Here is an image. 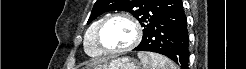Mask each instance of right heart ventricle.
<instances>
[{
  "label": "right heart ventricle",
  "mask_w": 246,
  "mask_h": 69,
  "mask_svg": "<svg viewBox=\"0 0 246 69\" xmlns=\"http://www.w3.org/2000/svg\"><path fill=\"white\" fill-rule=\"evenodd\" d=\"M105 17L106 16H101L98 19H96L85 32V38H84L85 51L92 57L100 56L102 54V50L98 46L95 38V32L98 25Z\"/></svg>",
  "instance_id": "1"
}]
</instances>
